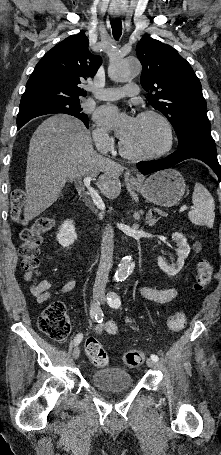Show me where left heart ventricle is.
<instances>
[{"label":"left heart ventricle","mask_w":221,"mask_h":455,"mask_svg":"<svg viewBox=\"0 0 221 455\" xmlns=\"http://www.w3.org/2000/svg\"><path fill=\"white\" fill-rule=\"evenodd\" d=\"M122 141L132 151L148 152L160 148L165 142V135L163 127L156 119L136 118L132 133Z\"/></svg>","instance_id":"left-heart-ventricle-1"}]
</instances>
